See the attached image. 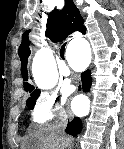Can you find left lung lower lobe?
<instances>
[{
    "instance_id": "left-lung-lower-lobe-1",
    "label": "left lung lower lobe",
    "mask_w": 124,
    "mask_h": 149,
    "mask_svg": "<svg viewBox=\"0 0 124 149\" xmlns=\"http://www.w3.org/2000/svg\"><path fill=\"white\" fill-rule=\"evenodd\" d=\"M81 77H82L83 90L87 92L91 87V72L86 71L82 73Z\"/></svg>"
}]
</instances>
